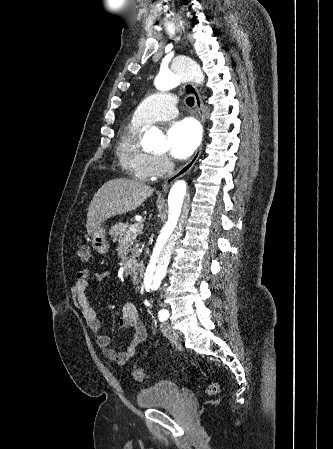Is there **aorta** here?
<instances>
[{"label": "aorta", "mask_w": 333, "mask_h": 449, "mask_svg": "<svg viewBox=\"0 0 333 449\" xmlns=\"http://www.w3.org/2000/svg\"><path fill=\"white\" fill-rule=\"evenodd\" d=\"M171 60L172 70L161 71L155 79L158 90L166 91L183 82H194L197 85L204 83V74L198 63L188 57L177 61ZM145 144L156 151L164 152L167 143L163 134L156 128H151L144 134ZM191 188L190 183L178 180L170 189L169 218L159 229L155 238L150 260L144 276V293L157 290L166 274L173 248L183 231V224L189 211Z\"/></svg>", "instance_id": "aorta-1"}]
</instances>
